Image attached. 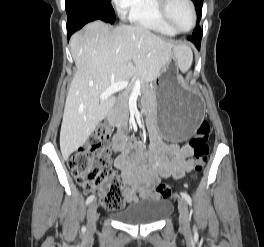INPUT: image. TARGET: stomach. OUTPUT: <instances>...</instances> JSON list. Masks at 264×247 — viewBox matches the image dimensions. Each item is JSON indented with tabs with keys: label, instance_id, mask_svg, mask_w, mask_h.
<instances>
[{
	"label": "stomach",
	"instance_id": "0dacf381",
	"mask_svg": "<svg viewBox=\"0 0 264 247\" xmlns=\"http://www.w3.org/2000/svg\"><path fill=\"white\" fill-rule=\"evenodd\" d=\"M180 78L178 64L166 63L154 86L157 123L166 141H188L205 116L201 94L190 93Z\"/></svg>",
	"mask_w": 264,
	"mask_h": 247
}]
</instances>
